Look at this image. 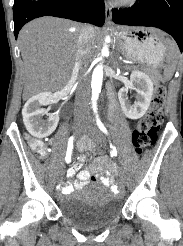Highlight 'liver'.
Wrapping results in <instances>:
<instances>
[{
	"mask_svg": "<svg viewBox=\"0 0 183 246\" xmlns=\"http://www.w3.org/2000/svg\"><path fill=\"white\" fill-rule=\"evenodd\" d=\"M82 25L56 17H42L27 23L18 41L24 61L23 99L47 91L61 90L70 80L76 61ZM87 60L100 40V29L93 27ZM160 37L164 33L156 30Z\"/></svg>",
	"mask_w": 183,
	"mask_h": 246,
	"instance_id": "obj_1",
	"label": "liver"
}]
</instances>
